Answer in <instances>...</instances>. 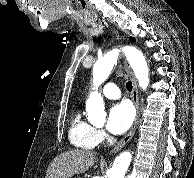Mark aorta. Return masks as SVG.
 <instances>
[{
  "label": "aorta",
  "mask_w": 194,
  "mask_h": 178,
  "mask_svg": "<svg viewBox=\"0 0 194 178\" xmlns=\"http://www.w3.org/2000/svg\"><path fill=\"white\" fill-rule=\"evenodd\" d=\"M119 49H113L99 59L93 67V92H91L87 102V118L92 124L104 123L106 112L104 110V101L98 86L101 85L111 73L119 56ZM122 52L126 56L131 68L134 71L139 86L146 90L149 85V68L143 53L133 46H125ZM132 160V155L128 151L122 152L114 160L111 169L107 173V178H124Z\"/></svg>",
  "instance_id": "obj_1"
}]
</instances>
